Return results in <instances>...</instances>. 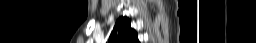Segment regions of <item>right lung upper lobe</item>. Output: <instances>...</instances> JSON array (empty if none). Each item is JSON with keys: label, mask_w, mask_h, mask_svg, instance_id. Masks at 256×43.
Segmentation results:
<instances>
[{"label": "right lung upper lobe", "mask_w": 256, "mask_h": 43, "mask_svg": "<svg viewBox=\"0 0 256 43\" xmlns=\"http://www.w3.org/2000/svg\"><path fill=\"white\" fill-rule=\"evenodd\" d=\"M108 43H139L138 35L131 28V21L126 17H120L110 34Z\"/></svg>", "instance_id": "cb5924a9"}]
</instances>
